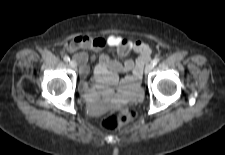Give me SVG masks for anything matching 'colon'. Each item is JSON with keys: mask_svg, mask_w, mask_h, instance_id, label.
Masks as SVG:
<instances>
[{"mask_svg": "<svg viewBox=\"0 0 225 155\" xmlns=\"http://www.w3.org/2000/svg\"><path fill=\"white\" fill-rule=\"evenodd\" d=\"M136 111L132 108H119L105 114L101 120V126L106 130H115L118 127L133 121Z\"/></svg>", "mask_w": 225, "mask_h": 155, "instance_id": "1", "label": "colon"}]
</instances>
